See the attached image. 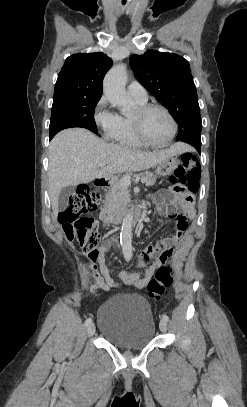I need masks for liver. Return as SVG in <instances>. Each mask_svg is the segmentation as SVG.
<instances>
[{
	"instance_id": "liver-1",
	"label": "liver",
	"mask_w": 247,
	"mask_h": 407,
	"mask_svg": "<svg viewBox=\"0 0 247 407\" xmlns=\"http://www.w3.org/2000/svg\"><path fill=\"white\" fill-rule=\"evenodd\" d=\"M189 149L186 144L176 143L168 149L145 152L106 143L87 129L63 130L49 146L48 177L53 217L58 214V197L63 188L113 174L146 170ZM103 162L106 165L100 167Z\"/></svg>"
}]
</instances>
